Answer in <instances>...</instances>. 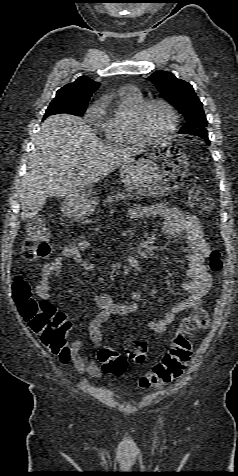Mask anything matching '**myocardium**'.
<instances>
[{
    "label": "myocardium",
    "instance_id": "obj_1",
    "mask_svg": "<svg viewBox=\"0 0 238 476\" xmlns=\"http://www.w3.org/2000/svg\"><path fill=\"white\" fill-rule=\"evenodd\" d=\"M152 104H161L163 105L170 114L171 122L169 127L165 132L160 135H150L148 134L142 126V118L146 109ZM132 130L140 141L144 142H158L167 139L172 135L178 126V115L173 107V105L165 99L162 98H148L143 100L135 109L132 120H131Z\"/></svg>",
    "mask_w": 238,
    "mask_h": 476
}]
</instances>
